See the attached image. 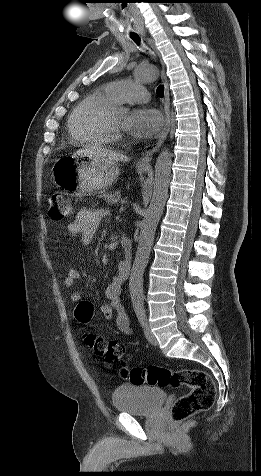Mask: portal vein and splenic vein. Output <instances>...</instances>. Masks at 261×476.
<instances>
[{
    "instance_id": "obj_1",
    "label": "portal vein and splenic vein",
    "mask_w": 261,
    "mask_h": 476,
    "mask_svg": "<svg viewBox=\"0 0 261 476\" xmlns=\"http://www.w3.org/2000/svg\"><path fill=\"white\" fill-rule=\"evenodd\" d=\"M124 210H125L124 206H121L119 209L120 212H123Z\"/></svg>"
}]
</instances>
